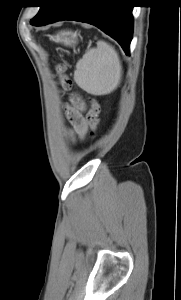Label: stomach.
<instances>
[{
	"mask_svg": "<svg viewBox=\"0 0 181 300\" xmlns=\"http://www.w3.org/2000/svg\"><path fill=\"white\" fill-rule=\"evenodd\" d=\"M50 40L67 47H74L78 43L77 33L72 31H61L50 36Z\"/></svg>",
	"mask_w": 181,
	"mask_h": 300,
	"instance_id": "obj_1",
	"label": "stomach"
}]
</instances>
